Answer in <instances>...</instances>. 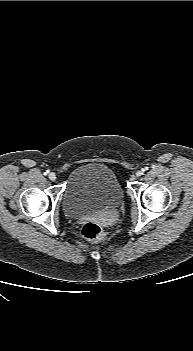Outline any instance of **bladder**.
<instances>
[{
	"label": "bladder",
	"instance_id": "bladder-1",
	"mask_svg": "<svg viewBox=\"0 0 193 351\" xmlns=\"http://www.w3.org/2000/svg\"><path fill=\"white\" fill-rule=\"evenodd\" d=\"M122 198L115 173L104 164L88 163L70 174L61 205L67 216L77 217L116 207Z\"/></svg>",
	"mask_w": 193,
	"mask_h": 351
}]
</instances>
